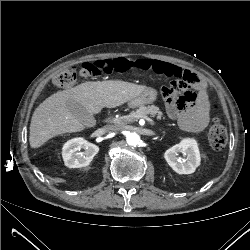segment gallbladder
<instances>
[{
	"label": "gallbladder",
	"mask_w": 250,
	"mask_h": 250,
	"mask_svg": "<svg viewBox=\"0 0 250 250\" xmlns=\"http://www.w3.org/2000/svg\"><path fill=\"white\" fill-rule=\"evenodd\" d=\"M66 105L70 112L82 123H87L91 120V114L80 104L69 100Z\"/></svg>",
	"instance_id": "bac80fb5"
}]
</instances>
